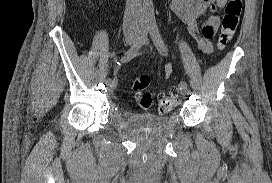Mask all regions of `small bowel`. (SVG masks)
Wrapping results in <instances>:
<instances>
[{
  "label": "small bowel",
  "mask_w": 272,
  "mask_h": 183,
  "mask_svg": "<svg viewBox=\"0 0 272 183\" xmlns=\"http://www.w3.org/2000/svg\"><path fill=\"white\" fill-rule=\"evenodd\" d=\"M228 0H172L171 8L174 13L188 26L189 32L195 41L196 47L204 54H211L214 50L211 39L216 36L220 25L217 12L223 8ZM207 16L200 34L199 19ZM173 73L170 64L164 66V77Z\"/></svg>",
  "instance_id": "c3829d8e"
}]
</instances>
